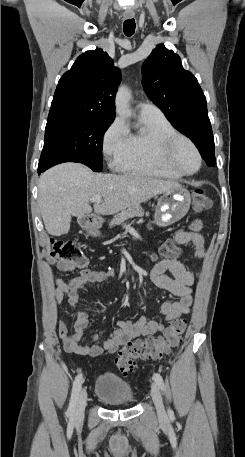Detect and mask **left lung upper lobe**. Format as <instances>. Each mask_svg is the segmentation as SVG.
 Here are the masks:
<instances>
[{"label": "left lung upper lobe", "mask_w": 245, "mask_h": 457, "mask_svg": "<svg viewBox=\"0 0 245 457\" xmlns=\"http://www.w3.org/2000/svg\"><path fill=\"white\" fill-rule=\"evenodd\" d=\"M142 84L150 100L195 145L212 134L202 89L172 50L161 44L152 51L142 65Z\"/></svg>", "instance_id": "left-lung-upper-lobe-1"}]
</instances>
